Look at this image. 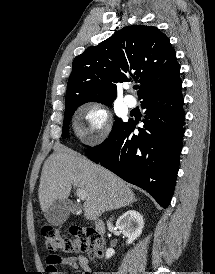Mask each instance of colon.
Wrapping results in <instances>:
<instances>
[{"instance_id":"5ec220e1","label":"colon","mask_w":215,"mask_h":274,"mask_svg":"<svg viewBox=\"0 0 215 274\" xmlns=\"http://www.w3.org/2000/svg\"><path fill=\"white\" fill-rule=\"evenodd\" d=\"M42 236L46 248L50 252H88L91 257H97L101 253L102 238L93 228L74 227L69 235L63 234L57 228L43 224L41 227Z\"/></svg>"}]
</instances>
